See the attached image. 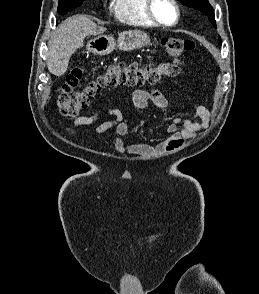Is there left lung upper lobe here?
<instances>
[{
  "label": "left lung upper lobe",
  "mask_w": 259,
  "mask_h": 294,
  "mask_svg": "<svg viewBox=\"0 0 259 294\" xmlns=\"http://www.w3.org/2000/svg\"><path fill=\"white\" fill-rule=\"evenodd\" d=\"M183 5L197 9L207 15L209 21L216 27L214 11L208 0H179ZM219 40H221L219 38Z\"/></svg>",
  "instance_id": "obj_1"
}]
</instances>
